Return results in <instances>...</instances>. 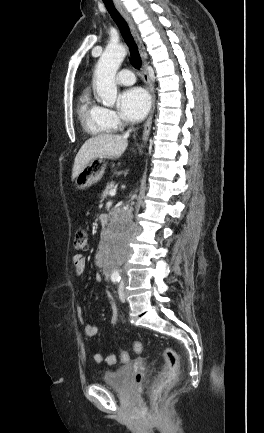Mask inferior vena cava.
<instances>
[{
	"label": "inferior vena cava",
	"mask_w": 264,
	"mask_h": 433,
	"mask_svg": "<svg viewBox=\"0 0 264 433\" xmlns=\"http://www.w3.org/2000/svg\"><path fill=\"white\" fill-rule=\"evenodd\" d=\"M128 133H129V131H128ZM115 252H127V251H115Z\"/></svg>",
	"instance_id": "602c4592"
}]
</instances>
